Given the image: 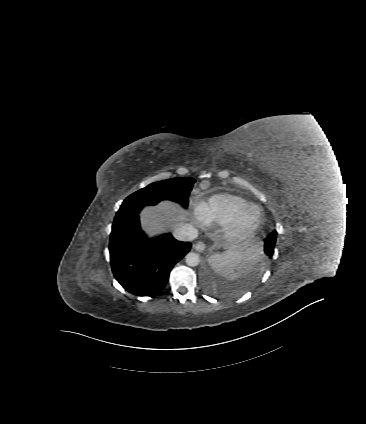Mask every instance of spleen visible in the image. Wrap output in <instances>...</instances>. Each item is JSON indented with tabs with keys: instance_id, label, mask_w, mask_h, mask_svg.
<instances>
[{
	"instance_id": "spleen-1",
	"label": "spleen",
	"mask_w": 366,
	"mask_h": 424,
	"mask_svg": "<svg viewBox=\"0 0 366 424\" xmlns=\"http://www.w3.org/2000/svg\"><path fill=\"white\" fill-rule=\"evenodd\" d=\"M258 250L255 246H246L240 250L227 251L210 258L211 267L222 276L234 280L246 274L252 263L258 259Z\"/></svg>"
}]
</instances>
